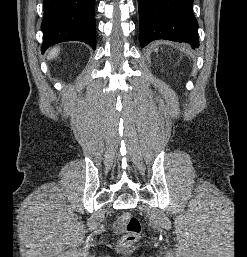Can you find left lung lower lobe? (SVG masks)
Here are the masks:
<instances>
[{"label": "left lung lower lobe", "mask_w": 247, "mask_h": 257, "mask_svg": "<svg viewBox=\"0 0 247 257\" xmlns=\"http://www.w3.org/2000/svg\"><path fill=\"white\" fill-rule=\"evenodd\" d=\"M193 0H138L141 47L165 39L199 46Z\"/></svg>", "instance_id": "obj_1"}]
</instances>
